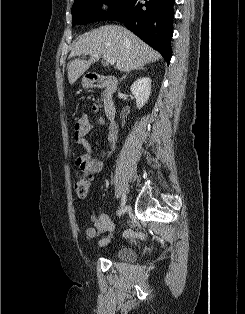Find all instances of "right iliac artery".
I'll list each match as a JSON object with an SVG mask.
<instances>
[{
	"label": "right iliac artery",
	"mask_w": 245,
	"mask_h": 314,
	"mask_svg": "<svg viewBox=\"0 0 245 314\" xmlns=\"http://www.w3.org/2000/svg\"><path fill=\"white\" fill-rule=\"evenodd\" d=\"M124 204H125V197H123V198H122V202H121L120 210L123 208ZM120 210H119V211H120Z\"/></svg>",
	"instance_id": "1"
}]
</instances>
